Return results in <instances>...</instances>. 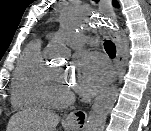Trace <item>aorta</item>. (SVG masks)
Returning a JSON list of instances; mask_svg holds the SVG:
<instances>
[{
    "mask_svg": "<svg viewBox=\"0 0 151 131\" xmlns=\"http://www.w3.org/2000/svg\"><path fill=\"white\" fill-rule=\"evenodd\" d=\"M61 19L65 25H70L73 28H80L85 24V21L76 17V11L73 8L65 9L62 12ZM87 23L90 26H99L100 22L96 19H90L87 20ZM49 50L52 58L60 59L67 56V51L57 40L50 44ZM117 98L118 89L112 86L104 90L95 99L89 112L85 131H104L107 116L117 101Z\"/></svg>",
    "mask_w": 151,
    "mask_h": 131,
    "instance_id": "762f6f07",
    "label": "aorta"
}]
</instances>
